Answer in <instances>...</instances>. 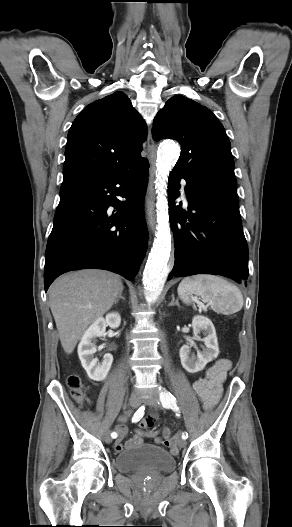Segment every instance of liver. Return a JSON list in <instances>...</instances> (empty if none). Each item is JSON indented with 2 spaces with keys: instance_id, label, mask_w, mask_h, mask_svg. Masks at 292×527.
I'll list each match as a JSON object with an SVG mask.
<instances>
[{
  "instance_id": "liver-1",
  "label": "liver",
  "mask_w": 292,
  "mask_h": 527,
  "mask_svg": "<svg viewBox=\"0 0 292 527\" xmlns=\"http://www.w3.org/2000/svg\"><path fill=\"white\" fill-rule=\"evenodd\" d=\"M123 288L118 275L96 269L71 272L52 283L49 305L67 354L86 328L110 310Z\"/></svg>"
}]
</instances>
